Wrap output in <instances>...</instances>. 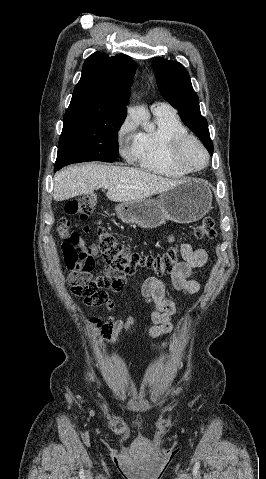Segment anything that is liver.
<instances>
[{
	"label": "liver",
	"mask_w": 266,
	"mask_h": 479,
	"mask_svg": "<svg viewBox=\"0 0 266 479\" xmlns=\"http://www.w3.org/2000/svg\"><path fill=\"white\" fill-rule=\"evenodd\" d=\"M183 180H172L131 167L84 163L63 169L54 176L53 197L56 201L93 194L107 189L114 202L146 199L167 191Z\"/></svg>",
	"instance_id": "1"
}]
</instances>
